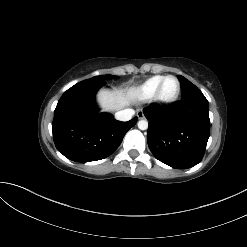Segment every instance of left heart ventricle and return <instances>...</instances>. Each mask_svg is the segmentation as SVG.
Masks as SVG:
<instances>
[{"instance_id": "left-heart-ventricle-1", "label": "left heart ventricle", "mask_w": 247, "mask_h": 247, "mask_svg": "<svg viewBox=\"0 0 247 247\" xmlns=\"http://www.w3.org/2000/svg\"><path fill=\"white\" fill-rule=\"evenodd\" d=\"M177 89V83L174 79H168L162 89V95L165 98H169L174 95Z\"/></svg>"}]
</instances>
